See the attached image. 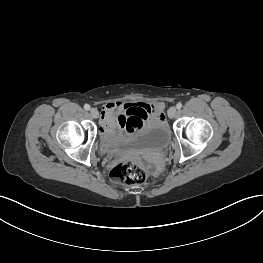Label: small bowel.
<instances>
[{"label": "small bowel", "mask_w": 263, "mask_h": 263, "mask_svg": "<svg viewBox=\"0 0 263 263\" xmlns=\"http://www.w3.org/2000/svg\"><path fill=\"white\" fill-rule=\"evenodd\" d=\"M162 107V103L158 106L143 102L107 103L103 106L101 131L105 137L133 136L151 118L154 112L161 115ZM154 163L157 166H162L165 163V157L162 154H157L154 157Z\"/></svg>", "instance_id": "1"}]
</instances>
